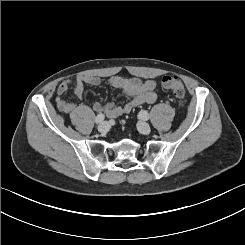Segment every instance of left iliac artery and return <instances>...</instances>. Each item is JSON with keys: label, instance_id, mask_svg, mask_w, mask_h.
Segmentation results:
<instances>
[{"label": "left iliac artery", "instance_id": "left-iliac-artery-1", "mask_svg": "<svg viewBox=\"0 0 245 245\" xmlns=\"http://www.w3.org/2000/svg\"><path fill=\"white\" fill-rule=\"evenodd\" d=\"M140 117L143 118L144 120H148L149 119V115L148 112L141 110L139 113Z\"/></svg>", "mask_w": 245, "mask_h": 245}]
</instances>
